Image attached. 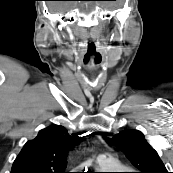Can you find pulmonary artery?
I'll return each mask as SVG.
<instances>
[{
    "instance_id": "obj_1",
    "label": "pulmonary artery",
    "mask_w": 173,
    "mask_h": 173,
    "mask_svg": "<svg viewBox=\"0 0 173 173\" xmlns=\"http://www.w3.org/2000/svg\"><path fill=\"white\" fill-rule=\"evenodd\" d=\"M106 156H104V155H100L99 157H98V159L99 160H101V159H103V158H105Z\"/></svg>"
}]
</instances>
